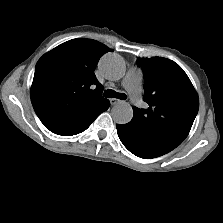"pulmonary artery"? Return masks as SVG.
Listing matches in <instances>:
<instances>
[{"instance_id": "obj_1", "label": "pulmonary artery", "mask_w": 223, "mask_h": 223, "mask_svg": "<svg viewBox=\"0 0 223 223\" xmlns=\"http://www.w3.org/2000/svg\"><path fill=\"white\" fill-rule=\"evenodd\" d=\"M142 80L143 73L138 68H131L127 72L122 85L129 93L131 101L137 105L141 106L143 104L142 100Z\"/></svg>"}]
</instances>
